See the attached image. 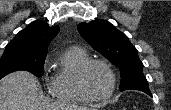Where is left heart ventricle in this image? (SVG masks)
I'll list each match as a JSON object with an SVG mask.
<instances>
[{"label":"left heart ventricle","mask_w":171,"mask_h":110,"mask_svg":"<svg viewBox=\"0 0 171 110\" xmlns=\"http://www.w3.org/2000/svg\"><path fill=\"white\" fill-rule=\"evenodd\" d=\"M86 85L95 96L106 94L111 88V76L102 65H94L86 76Z\"/></svg>","instance_id":"left-heart-ventricle-1"}]
</instances>
